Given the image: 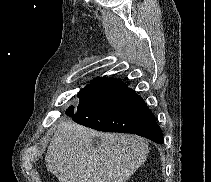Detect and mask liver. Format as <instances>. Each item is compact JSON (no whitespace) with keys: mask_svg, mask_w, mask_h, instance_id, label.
I'll return each instance as SVG.
<instances>
[{"mask_svg":"<svg viewBox=\"0 0 211 182\" xmlns=\"http://www.w3.org/2000/svg\"><path fill=\"white\" fill-rule=\"evenodd\" d=\"M100 144L95 146L93 139ZM147 141L136 135L101 133L60 122L45 157L59 182H126L145 162Z\"/></svg>","mask_w":211,"mask_h":182,"instance_id":"liver-1","label":"liver"}]
</instances>
